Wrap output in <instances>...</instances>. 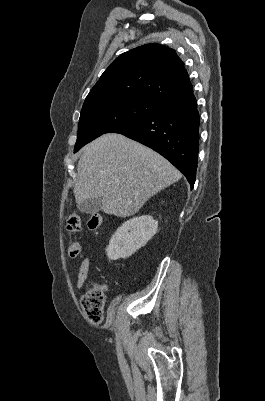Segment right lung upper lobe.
Listing matches in <instances>:
<instances>
[{
  "mask_svg": "<svg viewBox=\"0 0 265 401\" xmlns=\"http://www.w3.org/2000/svg\"><path fill=\"white\" fill-rule=\"evenodd\" d=\"M192 90L184 63L176 51L152 43L116 58L91 89L83 106L120 99L162 103Z\"/></svg>",
  "mask_w": 265,
  "mask_h": 401,
  "instance_id": "obj_1",
  "label": "right lung upper lobe"
}]
</instances>
